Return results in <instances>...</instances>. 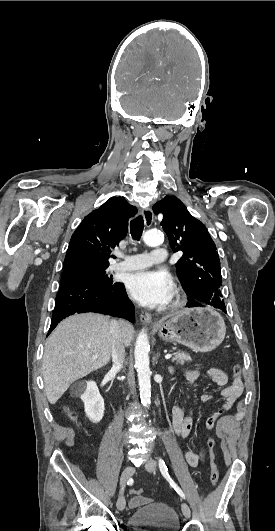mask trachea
<instances>
[{
    "instance_id": "3493384b",
    "label": "trachea",
    "mask_w": 275,
    "mask_h": 531,
    "mask_svg": "<svg viewBox=\"0 0 275 531\" xmlns=\"http://www.w3.org/2000/svg\"><path fill=\"white\" fill-rule=\"evenodd\" d=\"M144 220L142 216H138L130 223V232L134 240L139 241L143 233Z\"/></svg>"
}]
</instances>
